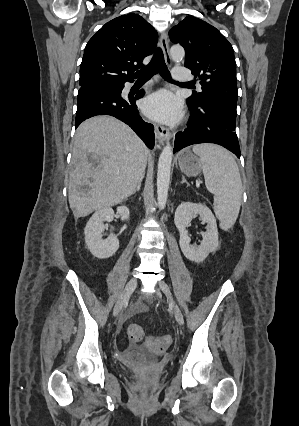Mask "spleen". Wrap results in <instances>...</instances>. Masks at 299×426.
Returning <instances> with one entry per match:
<instances>
[{"instance_id": "3e777b00", "label": "spleen", "mask_w": 299, "mask_h": 426, "mask_svg": "<svg viewBox=\"0 0 299 426\" xmlns=\"http://www.w3.org/2000/svg\"><path fill=\"white\" fill-rule=\"evenodd\" d=\"M202 161L207 189L214 194V211L224 230L234 225L242 198V181L236 161L224 148L199 144L192 148Z\"/></svg>"}]
</instances>
